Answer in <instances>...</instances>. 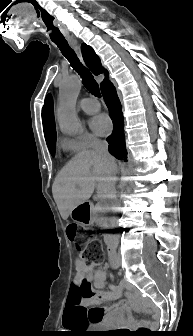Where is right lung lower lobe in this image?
I'll use <instances>...</instances> for the list:
<instances>
[{"instance_id":"right-lung-lower-lobe-1","label":"right lung lower lobe","mask_w":193,"mask_h":336,"mask_svg":"<svg viewBox=\"0 0 193 336\" xmlns=\"http://www.w3.org/2000/svg\"><path fill=\"white\" fill-rule=\"evenodd\" d=\"M105 103L109 108V114L113 119L114 128L112 134L107 138L109 143V152L119 160L126 161L127 151L124 140V121L121 109V103L117 96L113 84L106 81L101 87Z\"/></svg>"}]
</instances>
